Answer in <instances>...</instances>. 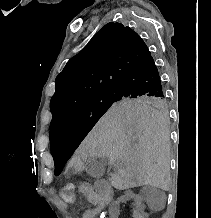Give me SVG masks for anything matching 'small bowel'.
Masks as SVG:
<instances>
[{"label": "small bowel", "mask_w": 211, "mask_h": 218, "mask_svg": "<svg viewBox=\"0 0 211 218\" xmlns=\"http://www.w3.org/2000/svg\"><path fill=\"white\" fill-rule=\"evenodd\" d=\"M79 189L86 200L92 204V207L83 211L81 218H96L105 207L103 199L100 198L97 192L98 190L89 183L82 184ZM132 218H146V213L141 207H137L132 211Z\"/></svg>", "instance_id": "1"}]
</instances>
